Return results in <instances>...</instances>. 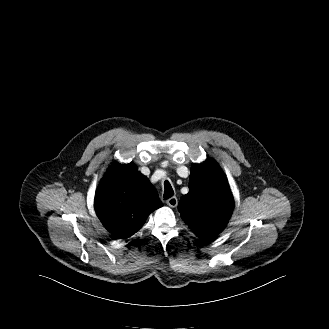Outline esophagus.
Instances as JSON below:
<instances>
[{"mask_svg": "<svg viewBox=\"0 0 329 329\" xmlns=\"http://www.w3.org/2000/svg\"><path fill=\"white\" fill-rule=\"evenodd\" d=\"M167 205L174 208L178 205V200L175 196L169 198L167 201H166Z\"/></svg>", "mask_w": 329, "mask_h": 329, "instance_id": "34e87169", "label": "esophagus"}]
</instances>
